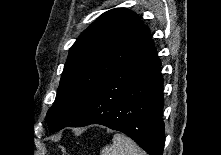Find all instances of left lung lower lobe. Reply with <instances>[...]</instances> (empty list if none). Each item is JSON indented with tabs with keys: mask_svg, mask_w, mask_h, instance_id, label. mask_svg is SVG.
<instances>
[{
	"mask_svg": "<svg viewBox=\"0 0 221 155\" xmlns=\"http://www.w3.org/2000/svg\"><path fill=\"white\" fill-rule=\"evenodd\" d=\"M151 38L98 88L85 108L67 125L100 124L132 138L149 155L164 148L163 77Z\"/></svg>",
	"mask_w": 221,
	"mask_h": 155,
	"instance_id": "1",
	"label": "left lung lower lobe"
}]
</instances>
